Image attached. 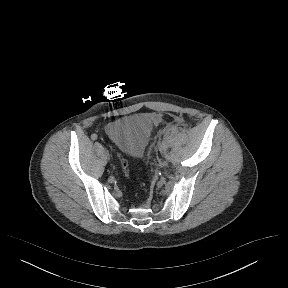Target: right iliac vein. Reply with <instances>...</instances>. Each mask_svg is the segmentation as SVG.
Here are the masks:
<instances>
[{"label":"right iliac vein","mask_w":288,"mask_h":288,"mask_svg":"<svg viewBox=\"0 0 288 288\" xmlns=\"http://www.w3.org/2000/svg\"><path fill=\"white\" fill-rule=\"evenodd\" d=\"M105 155H106V158H107V159L110 158V154H109V151H108L107 149L105 150Z\"/></svg>","instance_id":"right-iliac-vein-1"}]
</instances>
